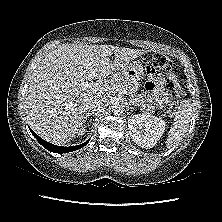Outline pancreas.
<instances>
[{
  "mask_svg": "<svg viewBox=\"0 0 222 222\" xmlns=\"http://www.w3.org/2000/svg\"><path fill=\"white\" fill-rule=\"evenodd\" d=\"M110 84L120 85L122 88H126L135 93L137 85L131 81L125 80L123 77H114Z\"/></svg>",
  "mask_w": 222,
  "mask_h": 222,
  "instance_id": "cf45deb5",
  "label": "pancreas"
}]
</instances>
